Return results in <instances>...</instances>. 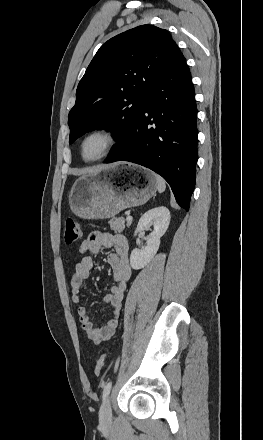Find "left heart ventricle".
I'll list each match as a JSON object with an SVG mask.
<instances>
[{"label": "left heart ventricle", "mask_w": 263, "mask_h": 440, "mask_svg": "<svg viewBox=\"0 0 263 440\" xmlns=\"http://www.w3.org/2000/svg\"><path fill=\"white\" fill-rule=\"evenodd\" d=\"M105 147L103 137L95 135L90 137L84 144V156L86 158H94L98 156Z\"/></svg>", "instance_id": "obj_1"}]
</instances>
